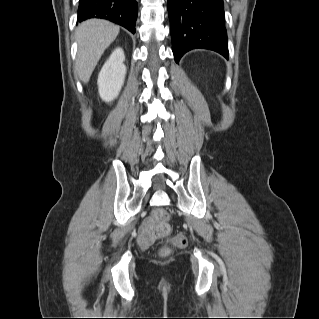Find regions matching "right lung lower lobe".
Listing matches in <instances>:
<instances>
[{
  "instance_id": "1",
  "label": "right lung lower lobe",
  "mask_w": 319,
  "mask_h": 319,
  "mask_svg": "<svg viewBox=\"0 0 319 319\" xmlns=\"http://www.w3.org/2000/svg\"><path fill=\"white\" fill-rule=\"evenodd\" d=\"M137 14L136 0H80L77 20L102 18L135 33Z\"/></svg>"
}]
</instances>
